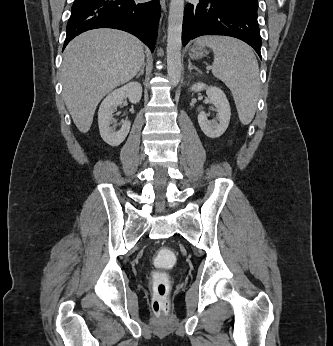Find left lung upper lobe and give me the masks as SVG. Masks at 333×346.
Wrapping results in <instances>:
<instances>
[{
  "instance_id": "obj_1",
  "label": "left lung upper lobe",
  "mask_w": 333,
  "mask_h": 346,
  "mask_svg": "<svg viewBox=\"0 0 333 346\" xmlns=\"http://www.w3.org/2000/svg\"><path fill=\"white\" fill-rule=\"evenodd\" d=\"M233 6L245 9L257 15L258 1L257 0H227Z\"/></svg>"
}]
</instances>
